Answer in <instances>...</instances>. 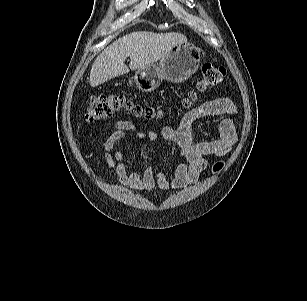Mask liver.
<instances>
[{
  "mask_svg": "<svg viewBox=\"0 0 307 301\" xmlns=\"http://www.w3.org/2000/svg\"><path fill=\"white\" fill-rule=\"evenodd\" d=\"M184 42L187 38L174 32L157 34L139 31L127 34L106 47L95 59L90 72V86H98L130 70L151 65ZM127 57L131 59L129 67L125 65Z\"/></svg>",
  "mask_w": 307,
  "mask_h": 301,
  "instance_id": "liver-1",
  "label": "liver"
}]
</instances>
